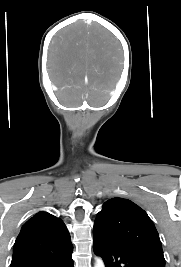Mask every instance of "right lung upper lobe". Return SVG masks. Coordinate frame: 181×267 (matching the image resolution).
I'll return each mask as SVG.
<instances>
[{
  "instance_id": "cb5924a9",
  "label": "right lung upper lobe",
  "mask_w": 181,
  "mask_h": 267,
  "mask_svg": "<svg viewBox=\"0 0 181 267\" xmlns=\"http://www.w3.org/2000/svg\"><path fill=\"white\" fill-rule=\"evenodd\" d=\"M72 248L69 232L62 220L40 211L23 225L14 244L12 260L46 257Z\"/></svg>"
}]
</instances>
